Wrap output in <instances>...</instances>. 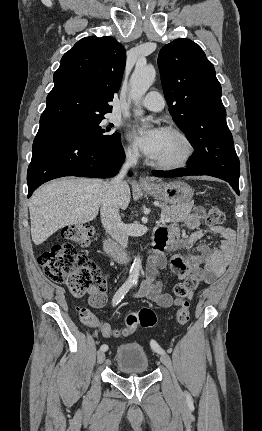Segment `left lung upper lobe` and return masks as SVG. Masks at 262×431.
I'll return each instance as SVG.
<instances>
[{"mask_svg": "<svg viewBox=\"0 0 262 431\" xmlns=\"http://www.w3.org/2000/svg\"><path fill=\"white\" fill-rule=\"evenodd\" d=\"M158 66L169 112L195 149L190 168L239 181V159L226 123L221 85L203 50L189 39H176L162 47Z\"/></svg>", "mask_w": 262, "mask_h": 431, "instance_id": "obj_1", "label": "left lung upper lobe"}]
</instances>
